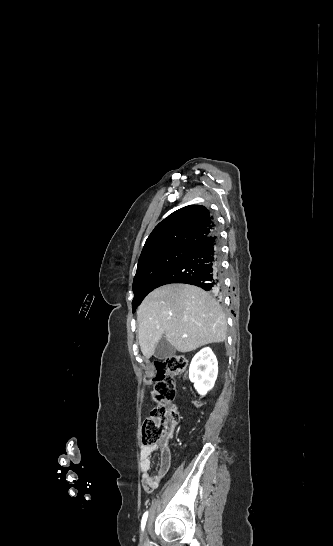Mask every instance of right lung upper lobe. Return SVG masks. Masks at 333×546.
Returning <instances> with one entry per match:
<instances>
[{"instance_id": "1", "label": "right lung upper lobe", "mask_w": 333, "mask_h": 546, "mask_svg": "<svg viewBox=\"0 0 333 546\" xmlns=\"http://www.w3.org/2000/svg\"><path fill=\"white\" fill-rule=\"evenodd\" d=\"M211 212L202 205L183 207L161 221L147 238L139 261L171 247H193L214 233Z\"/></svg>"}]
</instances>
